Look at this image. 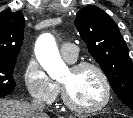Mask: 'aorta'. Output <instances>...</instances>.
Returning <instances> with one entry per match:
<instances>
[{
  "label": "aorta",
  "instance_id": "762f6f07",
  "mask_svg": "<svg viewBox=\"0 0 133 118\" xmlns=\"http://www.w3.org/2000/svg\"><path fill=\"white\" fill-rule=\"evenodd\" d=\"M36 57L52 79L58 78L67 70L60 57L55 39L50 34H44L38 39Z\"/></svg>",
  "mask_w": 133,
  "mask_h": 118
}]
</instances>
